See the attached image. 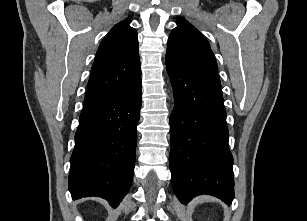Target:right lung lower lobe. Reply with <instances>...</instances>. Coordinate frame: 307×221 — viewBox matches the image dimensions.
<instances>
[{"instance_id": "98d812e1", "label": "right lung lower lobe", "mask_w": 307, "mask_h": 221, "mask_svg": "<svg viewBox=\"0 0 307 221\" xmlns=\"http://www.w3.org/2000/svg\"><path fill=\"white\" fill-rule=\"evenodd\" d=\"M141 79L132 87L84 104L68 179L72 198L97 196L116 208L135 166Z\"/></svg>"}]
</instances>
